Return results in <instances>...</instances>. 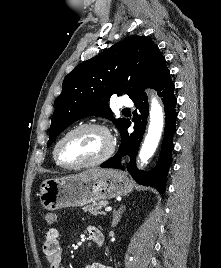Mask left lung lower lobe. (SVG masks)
Segmentation results:
<instances>
[{"label":"left lung lower lobe","mask_w":221,"mask_h":268,"mask_svg":"<svg viewBox=\"0 0 221 268\" xmlns=\"http://www.w3.org/2000/svg\"><path fill=\"white\" fill-rule=\"evenodd\" d=\"M155 90L162 98L166 116L165 135L156 168L150 172H143L137 171L135 166L136 154L142 141L148 117L149 105L146 95L133 100L138 109L134 111V117L132 119L135 123L134 132L130 135L128 134L127 128L131 124V122L128 121L124 129L120 132L121 145L118 152L115 156L101 164V167L125 169L120 164L121 158L125 155H129L131 157V162L127 166V171L131 174L135 181L145 186H153L157 188L160 193H164L166 176L172 161L171 153L174 148L173 136L176 132L175 120L177 118V113L175 105L177 100L174 96V84L170 77L162 82Z\"/></svg>","instance_id":"1"}]
</instances>
